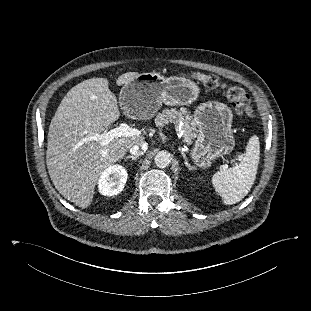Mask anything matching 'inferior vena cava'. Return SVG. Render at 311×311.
I'll return each instance as SVG.
<instances>
[{
    "label": "inferior vena cava",
    "mask_w": 311,
    "mask_h": 311,
    "mask_svg": "<svg viewBox=\"0 0 311 311\" xmlns=\"http://www.w3.org/2000/svg\"><path fill=\"white\" fill-rule=\"evenodd\" d=\"M146 149H147V145L145 143H142L141 147L136 144L130 148V153L135 156H140L146 151Z\"/></svg>",
    "instance_id": "obj_1"
}]
</instances>
